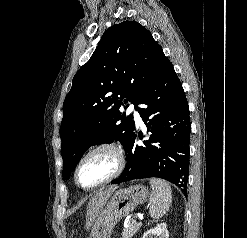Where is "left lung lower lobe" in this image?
<instances>
[{"instance_id": "left-lung-lower-lobe-1", "label": "left lung lower lobe", "mask_w": 247, "mask_h": 238, "mask_svg": "<svg viewBox=\"0 0 247 238\" xmlns=\"http://www.w3.org/2000/svg\"><path fill=\"white\" fill-rule=\"evenodd\" d=\"M140 104L146 105L137 111L150 132L149 140L138 146L135 132L132 134L125 148L126 167L112 183L157 177L175 184L185 194L191 132L189 106L182 84L167 58Z\"/></svg>"}]
</instances>
